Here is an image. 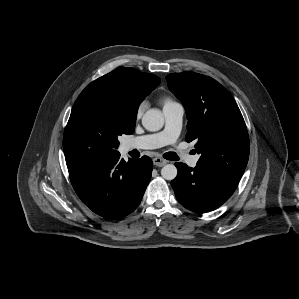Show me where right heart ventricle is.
<instances>
[{"instance_id": "right-heart-ventricle-1", "label": "right heart ventricle", "mask_w": 299, "mask_h": 299, "mask_svg": "<svg viewBox=\"0 0 299 299\" xmlns=\"http://www.w3.org/2000/svg\"><path fill=\"white\" fill-rule=\"evenodd\" d=\"M161 101L164 107L175 103L170 97H163Z\"/></svg>"}]
</instances>
